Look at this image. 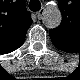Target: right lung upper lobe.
Returning a JSON list of instances; mask_svg holds the SVG:
<instances>
[{"label":"right lung upper lobe","mask_w":80,"mask_h":80,"mask_svg":"<svg viewBox=\"0 0 80 80\" xmlns=\"http://www.w3.org/2000/svg\"><path fill=\"white\" fill-rule=\"evenodd\" d=\"M0 45L2 47L16 46L25 36L32 24L29 13L23 4L18 3L14 8L5 11L1 18Z\"/></svg>","instance_id":"1"}]
</instances>
